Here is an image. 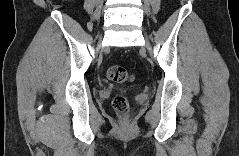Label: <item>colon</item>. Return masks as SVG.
Returning <instances> with one entry per match:
<instances>
[{
  "label": "colon",
  "instance_id": "1",
  "mask_svg": "<svg viewBox=\"0 0 239 156\" xmlns=\"http://www.w3.org/2000/svg\"><path fill=\"white\" fill-rule=\"evenodd\" d=\"M107 78L113 82H126L133 80V74L125 67L114 65L108 68L106 72ZM114 110L124 116L128 112V102L123 96H116L112 102Z\"/></svg>",
  "mask_w": 239,
  "mask_h": 156
}]
</instances>
